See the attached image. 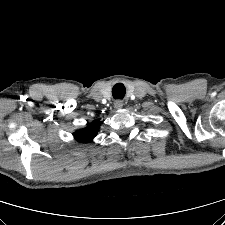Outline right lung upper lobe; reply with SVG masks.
Listing matches in <instances>:
<instances>
[{
    "label": "right lung upper lobe",
    "instance_id": "cb5924a9",
    "mask_svg": "<svg viewBox=\"0 0 225 225\" xmlns=\"http://www.w3.org/2000/svg\"><path fill=\"white\" fill-rule=\"evenodd\" d=\"M98 130L99 123L93 122L89 124L87 128L75 132L74 137L80 142H90L97 135Z\"/></svg>",
    "mask_w": 225,
    "mask_h": 225
}]
</instances>
